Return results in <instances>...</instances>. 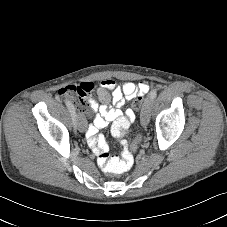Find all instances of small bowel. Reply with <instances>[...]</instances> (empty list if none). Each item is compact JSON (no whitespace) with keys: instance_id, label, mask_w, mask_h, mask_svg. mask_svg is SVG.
Masks as SVG:
<instances>
[{"instance_id":"1","label":"small bowel","mask_w":227,"mask_h":227,"mask_svg":"<svg viewBox=\"0 0 227 227\" xmlns=\"http://www.w3.org/2000/svg\"><path fill=\"white\" fill-rule=\"evenodd\" d=\"M80 91V95L74 97L77 107L80 110L88 105L92 112L95 113L93 123L86 130L87 143L91 147L93 153L99 156L101 153H108V144L103 135H97L100 129L106 127L109 123H113L112 134L115 137H121L126 129L135 121V113L132 109L122 112V107L136 96H142L149 91L146 83L135 84L126 81L121 85L112 78L103 79L97 89V96L101 104L90 97L93 90L91 82H84L75 86ZM112 102L113 107L108 104ZM82 121H86L82 113ZM117 159V158H115Z\"/></svg>"}]
</instances>
